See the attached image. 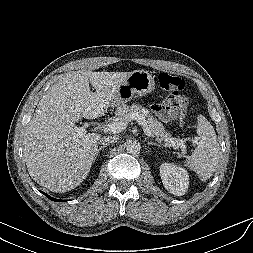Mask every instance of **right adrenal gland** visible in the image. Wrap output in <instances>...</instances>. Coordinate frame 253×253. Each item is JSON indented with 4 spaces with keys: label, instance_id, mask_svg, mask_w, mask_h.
<instances>
[{
    "label": "right adrenal gland",
    "instance_id": "obj_1",
    "mask_svg": "<svg viewBox=\"0 0 253 253\" xmlns=\"http://www.w3.org/2000/svg\"><path fill=\"white\" fill-rule=\"evenodd\" d=\"M105 147H107V145H102V146H100V147L97 149L96 156H98V154L100 153V151H101L102 149H104Z\"/></svg>",
    "mask_w": 253,
    "mask_h": 253
}]
</instances>
